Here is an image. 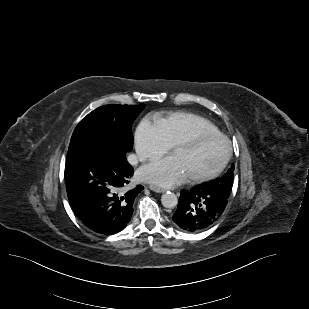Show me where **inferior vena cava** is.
<instances>
[{
	"label": "inferior vena cava",
	"instance_id": "602c4592",
	"mask_svg": "<svg viewBox=\"0 0 309 309\" xmlns=\"http://www.w3.org/2000/svg\"><path fill=\"white\" fill-rule=\"evenodd\" d=\"M127 159L132 165L137 163V157L134 154L129 155Z\"/></svg>",
	"mask_w": 309,
	"mask_h": 309
}]
</instances>
